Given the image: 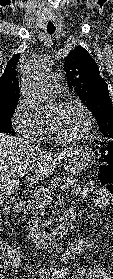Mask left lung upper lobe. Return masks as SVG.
<instances>
[{
  "label": "left lung upper lobe",
  "instance_id": "obj_1",
  "mask_svg": "<svg viewBox=\"0 0 113 279\" xmlns=\"http://www.w3.org/2000/svg\"><path fill=\"white\" fill-rule=\"evenodd\" d=\"M64 69L69 86L92 112L102 134L113 138V105L96 61L78 46L66 57Z\"/></svg>",
  "mask_w": 113,
  "mask_h": 279
}]
</instances>
